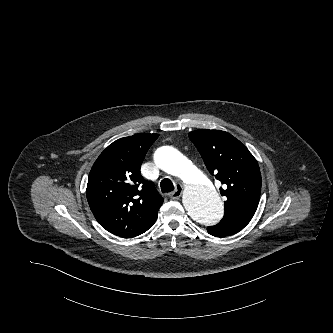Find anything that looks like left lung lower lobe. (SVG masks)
<instances>
[{
    "label": "left lung lower lobe",
    "instance_id": "1",
    "mask_svg": "<svg viewBox=\"0 0 333 333\" xmlns=\"http://www.w3.org/2000/svg\"><path fill=\"white\" fill-rule=\"evenodd\" d=\"M244 227L231 224V223H218L215 226H209L207 228V231L209 234L216 236V237H223L227 235H232L240 230H242Z\"/></svg>",
    "mask_w": 333,
    "mask_h": 333
}]
</instances>
